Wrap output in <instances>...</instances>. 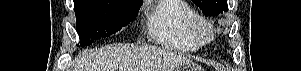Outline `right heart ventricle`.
I'll return each mask as SVG.
<instances>
[{
  "mask_svg": "<svg viewBox=\"0 0 301 71\" xmlns=\"http://www.w3.org/2000/svg\"><path fill=\"white\" fill-rule=\"evenodd\" d=\"M195 15L187 2L182 0H161L151 7L147 19L148 37L161 46L193 52L200 48L189 30L191 18Z\"/></svg>",
  "mask_w": 301,
  "mask_h": 71,
  "instance_id": "obj_1",
  "label": "right heart ventricle"
}]
</instances>
